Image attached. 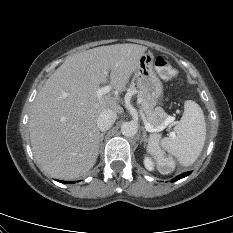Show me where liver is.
<instances>
[{"mask_svg":"<svg viewBox=\"0 0 233 233\" xmlns=\"http://www.w3.org/2000/svg\"><path fill=\"white\" fill-rule=\"evenodd\" d=\"M147 47L100 46L68 57L36 96L29 120L33 154L54 178L72 180L96 163L101 134L97 119L105 109L121 114L111 95L97 96L101 84L123 91Z\"/></svg>","mask_w":233,"mask_h":233,"instance_id":"obj_1","label":"liver"}]
</instances>
